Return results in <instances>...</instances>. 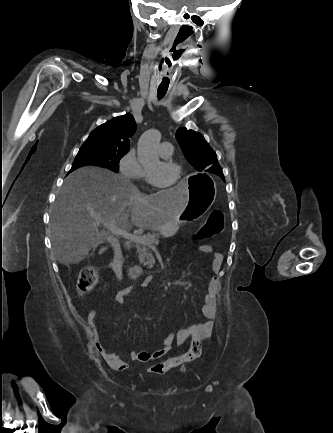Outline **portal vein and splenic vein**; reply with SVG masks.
Returning a JSON list of instances; mask_svg holds the SVG:
<instances>
[{
	"mask_svg": "<svg viewBox=\"0 0 333 433\" xmlns=\"http://www.w3.org/2000/svg\"><path fill=\"white\" fill-rule=\"evenodd\" d=\"M98 223H99V221H98ZM114 223H115L114 221L111 222V223H104L105 225L108 226L110 232L113 235L122 236L125 239L131 240V241H134V242H138V243H147L148 242V240H147V238L145 236L130 235L126 231H123L121 229L115 228Z\"/></svg>",
	"mask_w": 333,
	"mask_h": 433,
	"instance_id": "portal-vein-and-splenic-vein-1",
	"label": "portal vein and splenic vein"
}]
</instances>
